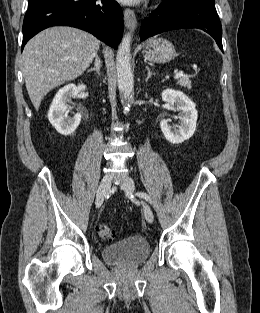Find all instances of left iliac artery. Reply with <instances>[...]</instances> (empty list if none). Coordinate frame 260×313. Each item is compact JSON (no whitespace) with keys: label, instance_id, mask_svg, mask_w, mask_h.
I'll return each mask as SVG.
<instances>
[{"label":"left iliac artery","instance_id":"left-iliac-artery-1","mask_svg":"<svg viewBox=\"0 0 260 313\" xmlns=\"http://www.w3.org/2000/svg\"><path fill=\"white\" fill-rule=\"evenodd\" d=\"M137 196L144 198L146 201H148L149 203H151V198L149 197L148 194H146L145 192H138Z\"/></svg>","mask_w":260,"mask_h":313}]
</instances>
